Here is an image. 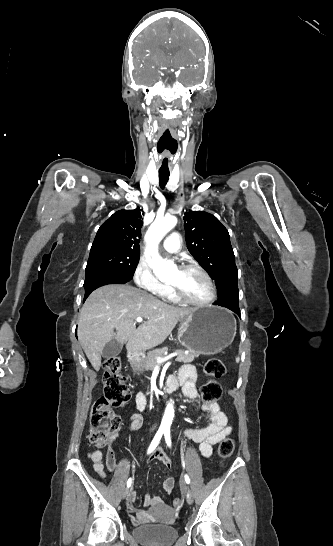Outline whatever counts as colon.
<instances>
[{
	"instance_id": "obj_1",
	"label": "colon",
	"mask_w": 333,
	"mask_h": 546,
	"mask_svg": "<svg viewBox=\"0 0 333 546\" xmlns=\"http://www.w3.org/2000/svg\"><path fill=\"white\" fill-rule=\"evenodd\" d=\"M204 373L208 380L201 387L202 400L206 404L216 402L222 394L220 384L216 379L226 374V366L222 360L209 359L204 364ZM130 389L125 377L120 373V360L110 357L104 362V395L96 400L90 417V441L101 447L112 439L120 428L121 422L115 414L114 408L127 404L130 399ZM235 441L225 437L219 443L218 456L228 459L234 452ZM183 505L182 499H175L173 506L176 509Z\"/></svg>"
}]
</instances>
